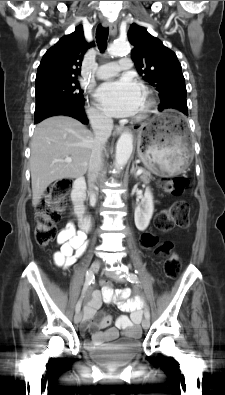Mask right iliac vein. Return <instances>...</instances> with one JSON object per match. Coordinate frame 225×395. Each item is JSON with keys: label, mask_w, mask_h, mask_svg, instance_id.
Listing matches in <instances>:
<instances>
[{"label": "right iliac vein", "mask_w": 225, "mask_h": 395, "mask_svg": "<svg viewBox=\"0 0 225 395\" xmlns=\"http://www.w3.org/2000/svg\"><path fill=\"white\" fill-rule=\"evenodd\" d=\"M99 266H100V261H99V260H95V261L92 263L91 267H90V272L94 274V273L97 272V270L99 269ZM81 319H82V314H81V312H77V313L75 314V316H74V322H75L76 324H78V323L81 321Z\"/></svg>", "instance_id": "right-iliac-vein-1"}]
</instances>
